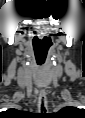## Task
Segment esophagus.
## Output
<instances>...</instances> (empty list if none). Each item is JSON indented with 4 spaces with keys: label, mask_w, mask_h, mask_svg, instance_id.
<instances>
[{
    "label": "esophagus",
    "mask_w": 85,
    "mask_h": 118,
    "mask_svg": "<svg viewBox=\"0 0 85 118\" xmlns=\"http://www.w3.org/2000/svg\"><path fill=\"white\" fill-rule=\"evenodd\" d=\"M38 110L39 112H48L47 96L45 91H41L38 98Z\"/></svg>",
    "instance_id": "1"
}]
</instances>
